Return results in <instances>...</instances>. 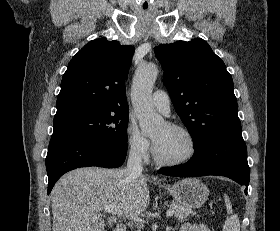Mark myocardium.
Instances as JSON below:
<instances>
[{"instance_id": "f54148a6", "label": "myocardium", "mask_w": 280, "mask_h": 231, "mask_svg": "<svg viewBox=\"0 0 280 231\" xmlns=\"http://www.w3.org/2000/svg\"><path fill=\"white\" fill-rule=\"evenodd\" d=\"M166 125L172 129L184 134L190 142L191 149H190V152L186 156H184L182 158H178V159H172V160L162 158L158 154V152L155 151V160L157 161L158 164H160L162 166H167V167L180 166V165L188 163L196 156L197 151H198V144H197L195 135L189 128H187L183 125L171 123V122L167 123Z\"/></svg>"}]
</instances>
